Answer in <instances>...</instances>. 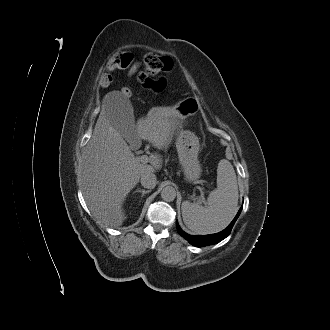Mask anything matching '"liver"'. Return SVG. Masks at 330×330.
I'll use <instances>...</instances> for the list:
<instances>
[{
	"label": "liver",
	"instance_id": "liver-1",
	"mask_svg": "<svg viewBox=\"0 0 330 330\" xmlns=\"http://www.w3.org/2000/svg\"><path fill=\"white\" fill-rule=\"evenodd\" d=\"M115 109L108 104L103 106L87 144L81 172V189L89 210L99 222L113 227L125 220L123 202L141 176L162 166L159 154L150 156V164L141 163L134 156L113 126ZM176 118L151 110L138 120L135 136L149 141L155 148H165L181 127Z\"/></svg>",
	"mask_w": 330,
	"mask_h": 330
}]
</instances>
